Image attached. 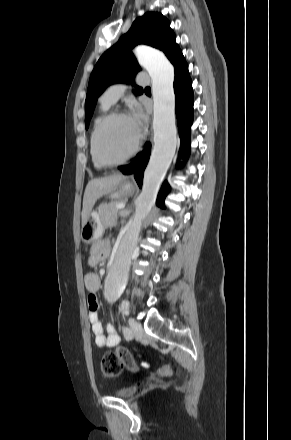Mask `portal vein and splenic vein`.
Here are the masks:
<instances>
[{
  "label": "portal vein and splenic vein",
  "instance_id": "18ae733b",
  "mask_svg": "<svg viewBox=\"0 0 291 440\" xmlns=\"http://www.w3.org/2000/svg\"><path fill=\"white\" fill-rule=\"evenodd\" d=\"M124 205L123 204H119V205H117V209H124Z\"/></svg>",
  "mask_w": 291,
  "mask_h": 440
}]
</instances>
